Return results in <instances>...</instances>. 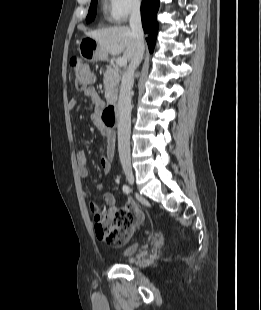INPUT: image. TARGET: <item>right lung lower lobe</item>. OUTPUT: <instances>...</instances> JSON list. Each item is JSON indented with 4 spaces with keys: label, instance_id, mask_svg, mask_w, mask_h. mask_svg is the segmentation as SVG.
I'll list each match as a JSON object with an SVG mask.
<instances>
[{
    "label": "right lung lower lobe",
    "instance_id": "obj_1",
    "mask_svg": "<svg viewBox=\"0 0 261 310\" xmlns=\"http://www.w3.org/2000/svg\"><path fill=\"white\" fill-rule=\"evenodd\" d=\"M158 8L159 0H143L141 5L142 26L144 32L149 35L148 38H146V41L151 53L154 50L158 31V22L156 19Z\"/></svg>",
    "mask_w": 261,
    "mask_h": 310
}]
</instances>
